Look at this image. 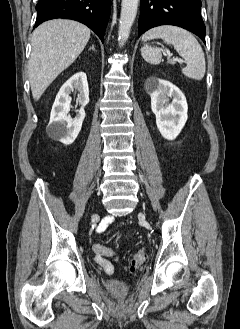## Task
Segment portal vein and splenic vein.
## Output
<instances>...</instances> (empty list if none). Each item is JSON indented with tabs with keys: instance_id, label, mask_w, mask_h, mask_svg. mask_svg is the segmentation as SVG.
I'll list each match as a JSON object with an SVG mask.
<instances>
[{
	"instance_id": "1",
	"label": "portal vein and splenic vein",
	"mask_w": 240,
	"mask_h": 329,
	"mask_svg": "<svg viewBox=\"0 0 240 329\" xmlns=\"http://www.w3.org/2000/svg\"><path fill=\"white\" fill-rule=\"evenodd\" d=\"M167 55H168V57H171L172 56V54L171 53H167ZM178 59H176V58H174V60L173 61H177Z\"/></svg>"
}]
</instances>
